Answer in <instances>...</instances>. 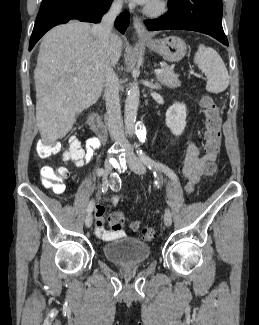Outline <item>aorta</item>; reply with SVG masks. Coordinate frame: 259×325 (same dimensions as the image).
Masks as SVG:
<instances>
[{
	"instance_id": "aorta-1",
	"label": "aorta",
	"mask_w": 259,
	"mask_h": 325,
	"mask_svg": "<svg viewBox=\"0 0 259 325\" xmlns=\"http://www.w3.org/2000/svg\"><path fill=\"white\" fill-rule=\"evenodd\" d=\"M139 98H140V91L137 81H135L127 94L126 101H125V109H124V122L126 132L132 136L134 135V128L136 122V116L139 106Z\"/></svg>"
}]
</instances>
